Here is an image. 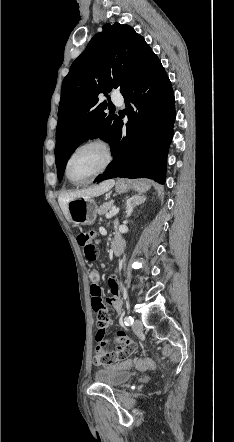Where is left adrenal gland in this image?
<instances>
[{
    "label": "left adrenal gland",
    "mask_w": 234,
    "mask_h": 442,
    "mask_svg": "<svg viewBox=\"0 0 234 442\" xmlns=\"http://www.w3.org/2000/svg\"><path fill=\"white\" fill-rule=\"evenodd\" d=\"M146 200V197L144 195L140 196V195H135L131 198H129L126 202V218L131 216L133 209L138 206L141 205L142 203H144Z\"/></svg>",
    "instance_id": "left-adrenal-gland-1"
}]
</instances>
